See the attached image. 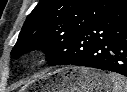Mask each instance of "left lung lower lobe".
<instances>
[{"mask_svg":"<svg viewBox=\"0 0 127 92\" xmlns=\"http://www.w3.org/2000/svg\"><path fill=\"white\" fill-rule=\"evenodd\" d=\"M50 65H77L127 76V0L79 32Z\"/></svg>","mask_w":127,"mask_h":92,"instance_id":"obj_1","label":"left lung lower lobe"}]
</instances>
